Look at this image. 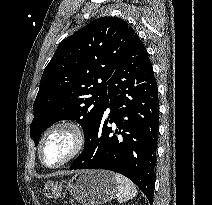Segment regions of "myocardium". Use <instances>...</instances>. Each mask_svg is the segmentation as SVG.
I'll list each match as a JSON object with an SVG mask.
<instances>
[{"instance_id": "obj_1", "label": "myocardium", "mask_w": 212, "mask_h": 205, "mask_svg": "<svg viewBox=\"0 0 212 205\" xmlns=\"http://www.w3.org/2000/svg\"><path fill=\"white\" fill-rule=\"evenodd\" d=\"M57 132H64L70 136L71 148L68 154L63 159H61L57 163L49 164L44 159V155H43L44 147L48 139ZM84 145H85V132L83 128L75 121L61 120V121L55 122L54 124H52L45 130V132L43 133L40 139L38 154L42 164L50 168H56L68 163L73 158H75L82 151V149L84 148Z\"/></svg>"}]
</instances>
